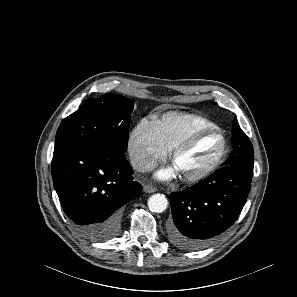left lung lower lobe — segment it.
Here are the masks:
<instances>
[{
    "mask_svg": "<svg viewBox=\"0 0 297 297\" xmlns=\"http://www.w3.org/2000/svg\"><path fill=\"white\" fill-rule=\"evenodd\" d=\"M252 176L253 165L225 166L190 188L171 193V244L183 250L211 244L241 213Z\"/></svg>",
    "mask_w": 297,
    "mask_h": 297,
    "instance_id": "1",
    "label": "left lung lower lobe"
}]
</instances>
